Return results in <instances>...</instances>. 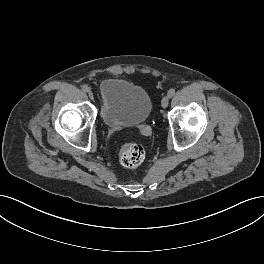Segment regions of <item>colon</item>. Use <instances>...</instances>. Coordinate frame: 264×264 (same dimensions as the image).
Instances as JSON below:
<instances>
[{
	"label": "colon",
	"mask_w": 264,
	"mask_h": 264,
	"mask_svg": "<svg viewBox=\"0 0 264 264\" xmlns=\"http://www.w3.org/2000/svg\"><path fill=\"white\" fill-rule=\"evenodd\" d=\"M145 159V150L137 143H126L119 151L120 163L126 168H137Z\"/></svg>",
	"instance_id": "1"
}]
</instances>
